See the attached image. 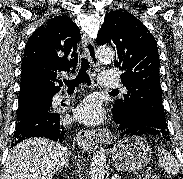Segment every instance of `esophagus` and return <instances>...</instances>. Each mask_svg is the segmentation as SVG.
I'll return each instance as SVG.
<instances>
[{"instance_id": "1", "label": "esophagus", "mask_w": 183, "mask_h": 179, "mask_svg": "<svg viewBox=\"0 0 183 179\" xmlns=\"http://www.w3.org/2000/svg\"><path fill=\"white\" fill-rule=\"evenodd\" d=\"M82 47L83 52L89 57L93 65L98 64V58L96 54L94 41L87 35H82ZM77 142L80 146L87 150H93L98 147L99 143L110 142L112 135L109 131L104 129L98 130H79L77 134Z\"/></svg>"}]
</instances>
